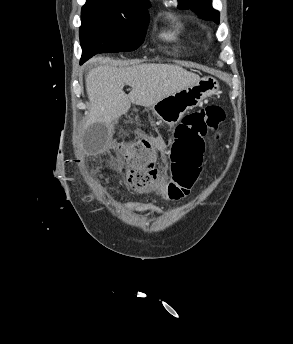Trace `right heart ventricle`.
<instances>
[{
    "mask_svg": "<svg viewBox=\"0 0 293 344\" xmlns=\"http://www.w3.org/2000/svg\"><path fill=\"white\" fill-rule=\"evenodd\" d=\"M174 21L171 28L163 34V37L168 40H177L182 37H193L195 34L190 32L186 25L182 23L177 17L171 16Z\"/></svg>",
    "mask_w": 293,
    "mask_h": 344,
    "instance_id": "1",
    "label": "right heart ventricle"
}]
</instances>
